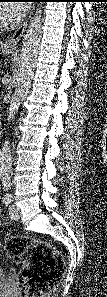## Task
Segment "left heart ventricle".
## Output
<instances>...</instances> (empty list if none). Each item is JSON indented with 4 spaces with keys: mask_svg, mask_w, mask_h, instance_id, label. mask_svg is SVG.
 I'll return each instance as SVG.
<instances>
[{
    "mask_svg": "<svg viewBox=\"0 0 107 297\" xmlns=\"http://www.w3.org/2000/svg\"><path fill=\"white\" fill-rule=\"evenodd\" d=\"M0 19H1V22H7V20H6V18L4 17V15H3V13H2V11L0 12ZM5 20V21H4ZM5 22V23H6Z\"/></svg>",
    "mask_w": 107,
    "mask_h": 297,
    "instance_id": "b2bd125f",
    "label": "left heart ventricle"
}]
</instances>
